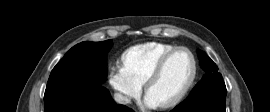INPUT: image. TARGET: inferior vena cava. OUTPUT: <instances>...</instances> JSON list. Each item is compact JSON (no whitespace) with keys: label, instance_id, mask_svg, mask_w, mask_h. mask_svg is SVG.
<instances>
[{"label":"inferior vena cava","instance_id":"obj_1","mask_svg":"<svg viewBox=\"0 0 270 112\" xmlns=\"http://www.w3.org/2000/svg\"><path fill=\"white\" fill-rule=\"evenodd\" d=\"M114 100L119 104H128L130 102V98L122 95L121 93H115Z\"/></svg>","mask_w":270,"mask_h":112}]
</instances>
